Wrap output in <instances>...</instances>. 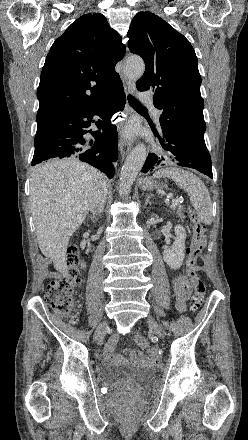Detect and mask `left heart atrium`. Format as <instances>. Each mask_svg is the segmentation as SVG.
I'll use <instances>...</instances> for the list:
<instances>
[{
    "label": "left heart atrium",
    "mask_w": 248,
    "mask_h": 440,
    "mask_svg": "<svg viewBox=\"0 0 248 440\" xmlns=\"http://www.w3.org/2000/svg\"><path fill=\"white\" fill-rule=\"evenodd\" d=\"M135 134H136V130H135V128H134L133 126H129V127H127V129H126V131H125V135H126L128 138H132V137H134Z\"/></svg>",
    "instance_id": "1"
}]
</instances>
